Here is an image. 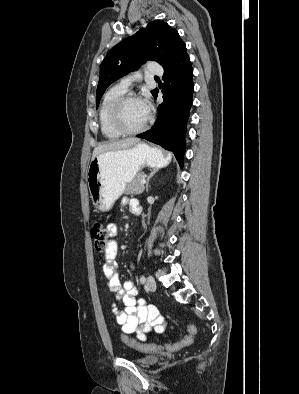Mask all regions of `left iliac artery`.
I'll list each match as a JSON object with an SVG mask.
<instances>
[{
  "label": "left iliac artery",
  "instance_id": "obj_1",
  "mask_svg": "<svg viewBox=\"0 0 299 394\" xmlns=\"http://www.w3.org/2000/svg\"><path fill=\"white\" fill-rule=\"evenodd\" d=\"M145 281H146V278H145V276L142 275L141 278H140V282H141L142 284H144Z\"/></svg>",
  "mask_w": 299,
  "mask_h": 394
}]
</instances>
